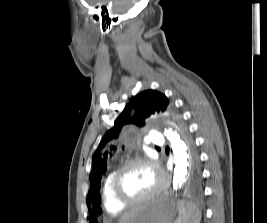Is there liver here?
<instances>
[{
	"instance_id": "1",
	"label": "liver",
	"mask_w": 267,
	"mask_h": 223,
	"mask_svg": "<svg viewBox=\"0 0 267 223\" xmlns=\"http://www.w3.org/2000/svg\"><path fill=\"white\" fill-rule=\"evenodd\" d=\"M135 211V208L126 212L119 220V223H125L131 216L132 214L134 213Z\"/></svg>"
}]
</instances>
